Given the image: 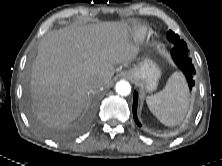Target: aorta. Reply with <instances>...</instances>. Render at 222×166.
Listing matches in <instances>:
<instances>
[{
  "instance_id": "obj_1",
  "label": "aorta",
  "mask_w": 222,
  "mask_h": 166,
  "mask_svg": "<svg viewBox=\"0 0 222 166\" xmlns=\"http://www.w3.org/2000/svg\"><path fill=\"white\" fill-rule=\"evenodd\" d=\"M115 89H116L117 94H119L121 96H127L131 92V86H130L129 82L124 81V80L119 81L116 84Z\"/></svg>"
}]
</instances>
